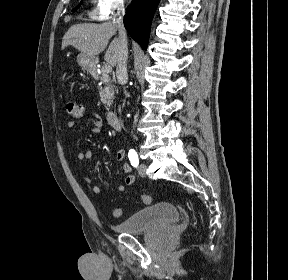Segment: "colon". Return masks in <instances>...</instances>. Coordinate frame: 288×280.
Returning a JSON list of instances; mask_svg holds the SVG:
<instances>
[{"mask_svg":"<svg viewBox=\"0 0 288 280\" xmlns=\"http://www.w3.org/2000/svg\"><path fill=\"white\" fill-rule=\"evenodd\" d=\"M66 109L69 115L76 121H80L84 117V106L79 103L68 102L66 105ZM141 202L143 205H148L151 202V197L148 194H143L141 196ZM112 214L115 218H119L122 215V209L117 207L113 210Z\"/></svg>","mask_w":288,"mask_h":280,"instance_id":"5ec220e1","label":"colon"}]
</instances>
